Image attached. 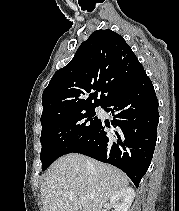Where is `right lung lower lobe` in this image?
<instances>
[{"label":"right lung lower lobe","mask_w":179,"mask_h":211,"mask_svg":"<svg viewBox=\"0 0 179 211\" xmlns=\"http://www.w3.org/2000/svg\"><path fill=\"white\" fill-rule=\"evenodd\" d=\"M114 116L116 132L108 143L104 128L110 123L101 121L90 139L72 153H80L112 164L139 186L155 149L159 122L158 100L153 84L145 71L128 87L113 96L103 107ZM117 139L116 141H113Z\"/></svg>","instance_id":"98d812e1"}]
</instances>
